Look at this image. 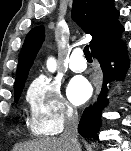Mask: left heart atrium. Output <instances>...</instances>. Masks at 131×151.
<instances>
[{"label": "left heart atrium", "instance_id": "1", "mask_svg": "<svg viewBox=\"0 0 131 151\" xmlns=\"http://www.w3.org/2000/svg\"><path fill=\"white\" fill-rule=\"evenodd\" d=\"M91 92V85L83 77L73 78L67 88L68 98L77 105L84 103L90 97Z\"/></svg>", "mask_w": 131, "mask_h": 151}]
</instances>
